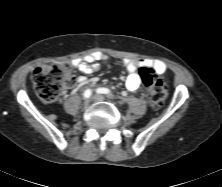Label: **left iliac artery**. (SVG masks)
<instances>
[{"label":"left iliac artery","mask_w":222,"mask_h":187,"mask_svg":"<svg viewBox=\"0 0 222 187\" xmlns=\"http://www.w3.org/2000/svg\"><path fill=\"white\" fill-rule=\"evenodd\" d=\"M97 93L107 94L108 97L112 96V94L110 93V90L107 88H99L97 89Z\"/></svg>","instance_id":"obj_1"}]
</instances>
